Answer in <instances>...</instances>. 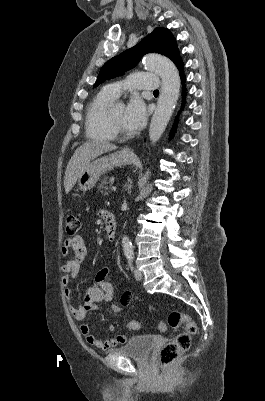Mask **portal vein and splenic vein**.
Masks as SVG:
<instances>
[{"mask_svg": "<svg viewBox=\"0 0 265 401\" xmlns=\"http://www.w3.org/2000/svg\"><path fill=\"white\" fill-rule=\"evenodd\" d=\"M110 190H111V191H116V190H117L116 185L111 186V187H110Z\"/></svg>", "mask_w": 265, "mask_h": 401, "instance_id": "portal-vein-and-splenic-vein-1", "label": "portal vein and splenic vein"}]
</instances>
